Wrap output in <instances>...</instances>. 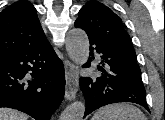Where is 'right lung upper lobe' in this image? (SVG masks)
<instances>
[{
	"instance_id": "1",
	"label": "right lung upper lobe",
	"mask_w": 165,
	"mask_h": 120,
	"mask_svg": "<svg viewBox=\"0 0 165 120\" xmlns=\"http://www.w3.org/2000/svg\"><path fill=\"white\" fill-rule=\"evenodd\" d=\"M46 40L36 9L20 0L0 13V56Z\"/></svg>"
}]
</instances>
